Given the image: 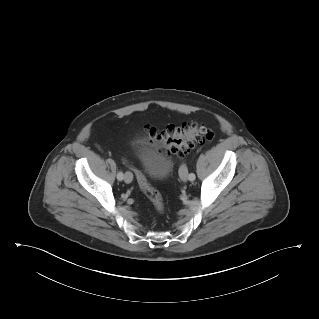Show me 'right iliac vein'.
Returning <instances> with one entry per match:
<instances>
[{"instance_id": "obj_1", "label": "right iliac vein", "mask_w": 319, "mask_h": 319, "mask_svg": "<svg viewBox=\"0 0 319 319\" xmlns=\"http://www.w3.org/2000/svg\"><path fill=\"white\" fill-rule=\"evenodd\" d=\"M124 180L126 183H131L133 180V175L131 172L127 171L124 175Z\"/></svg>"}]
</instances>
